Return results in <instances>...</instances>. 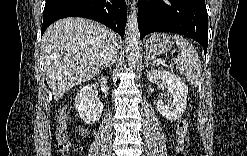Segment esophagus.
Returning <instances> with one entry per match:
<instances>
[{
	"label": "esophagus",
	"instance_id": "obj_1",
	"mask_svg": "<svg viewBox=\"0 0 247 156\" xmlns=\"http://www.w3.org/2000/svg\"><path fill=\"white\" fill-rule=\"evenodd\" d=\"M126 3H127L128 8L131 9L132 8L131 0H127Z\"/></svg>",
	"mask_w": 247,
	"mask_h": 156
}]
</instances>
